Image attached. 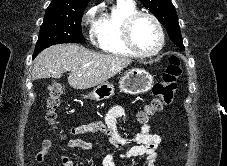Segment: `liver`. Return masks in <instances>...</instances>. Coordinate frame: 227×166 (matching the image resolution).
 Wrapping results in <instances>:
<instances>
[{"mask_svg":"<svg viewBox=\"0 0 227 166\" xmlns=\"http://www.w3.org/2000/svg\"><path fill=\"white\" fill-rule=\"evenodd\" d=\"M131 63L128 57L96 53L77 44H59L35 58L32 79L60 78L70 71L69 85L83 90L105 83Z\"/></svg>","mask_w":227,"mask_h":166,"instance_id":"6515ba94","label":"liver"}]
</instances>
